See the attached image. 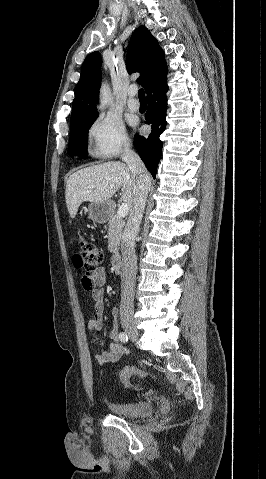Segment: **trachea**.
<instances>
[{"label":"trachea","instance_id":"obj_1","mask_svg":"<svg viewBox=\"0 0 266 479\" xmlns=\"http://www.w3.org/2000/svg\"><path fill=\"white\" fill-rule=\"evenodd\" d=\"M138 98H139V100L146 101L144 89H139Z\"/></svg>","mask_w":266,"mask_h":479}]
</instances>
